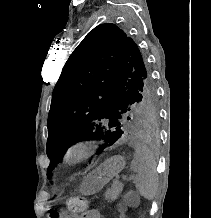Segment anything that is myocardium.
Segmentation results:
<instances>
[{
  "instance_id": "f54148a6",
  "label": "myocardium",
  "mask_w": 211,
  "mask_h": 218,
  "mask_svg": "<svg viewBox=\"0 0 211 218\" xmlns=\"http://www.w3.org/2000/svg\"><path fill=\"white\" fill-rule=\"evenodd\" d=\"M89 152V146L86 140H79L73 143L65 154V160L69 163L77 162L84 158Z\"/></svg>"
}]
</instances>
